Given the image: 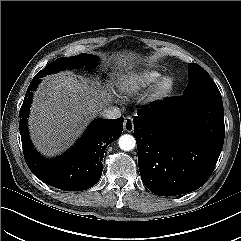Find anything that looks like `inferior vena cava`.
<instances>
[{"label":"inferior vena cava","mask_w":241,"mask_h":241,"mask_svg":"<svg viewBox=\"0 0 241 241\" xmlns=\"http://www.w3.org/2000/svg\"><path fill=\"white\" fill-rule=\"evenodd\" d=\"M101 116L105 119H116L121 117V111L118 107L109 106L103 109Z\"/></svg>","instance_id":"1"}]
</instances>
